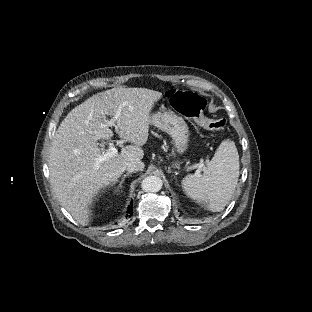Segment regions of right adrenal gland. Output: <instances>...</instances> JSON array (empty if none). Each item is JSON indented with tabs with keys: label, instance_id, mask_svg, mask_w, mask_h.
Instances as JSON below:
<instances>
[{
	"label": "right adrenal gland",
	"instance_id": "1",
	"mask_svg": "<svg viewBox=\"0 0 312 312\" xmlns=\"http://www.w3.org/2000/svg\"><path fill=\"white\" fill-rule=\"evenodd\" d=\"M129 175H131V174H130V173L124 174V176L122 177L121 181L119 182V186L116 188L115 192L119 191V188H122V185H123V183H124V181H125V178H126L127 176H129Z\"/></svg>",
	"mask_w": 312,
	"mask_h": 312
}]
</instances>
